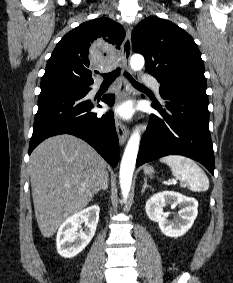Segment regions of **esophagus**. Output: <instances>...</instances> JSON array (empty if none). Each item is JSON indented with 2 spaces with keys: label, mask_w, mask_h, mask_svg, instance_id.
<instances>
[{
  "label": "esophagus",
  "mask_w": 233,
  "mask_h": 283,
  "mask_svg": "<svg viewBox=\"0 0 233 283\" xmlns=\"http://www.w3.org/2000/svg\"><path fill=\"white\" fill-rule=\"evenodd\" d=\"M132 54V42H131V30L128 29L126 32V37L122 44V61L125 68L128 69V64L131 58ZM128 96V83L127 80L122 76L120 78L119 83V96H118V102H121L122 100L126 99ZM116 131L118 134L119 142L120 144H124L129 136L128 128L125 124L122 123V121L117 118L116 119Z\"/></svg>",
  "instance_id": "esophagus-1"
}]
</instances>
